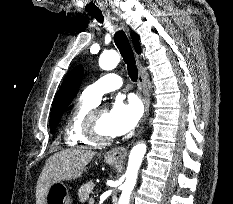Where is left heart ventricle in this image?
<instances>
[{
    "mask_svg": "<svg viewBox=\"0 0 233 204\" xmlns=\"http://www.w3.org/2000/svg\"><path fill=\"white\" fill-rule=\"evenodd\" d=\"M97 125L100 133L106 136H114L111 132L110 117L107 110H102L97 116Z\"/></svg>",
    "mask_w": 233,
    "mask_h": 204,
    "instance_id": "b2bd125f",
    "label": "left heart ventricle"
}]
</instances>
